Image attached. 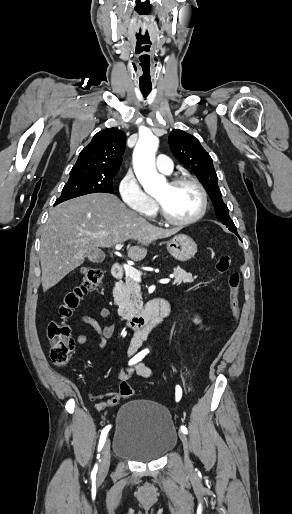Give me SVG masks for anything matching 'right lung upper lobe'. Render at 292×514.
I'll use <instances>...</instances> for the list:
<instances>
[{
  "mask_svg": "<svg viewBox=\"0 0 292 514\" xmlns=\"http://www.w3.org/2000/svg\"><path fill=\"white\" fill-rule=\"evenodd\" d=\"M126 135L117 128L98 132L79 154L70 174L116 175L125 151Z\"/></svg>",
  "mask_w": 292,
  "mask_h": 514,
  "instance_id": "cb5924a9",
  "label": "right lung upper lobe"
}]
</instances>
